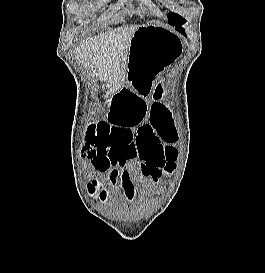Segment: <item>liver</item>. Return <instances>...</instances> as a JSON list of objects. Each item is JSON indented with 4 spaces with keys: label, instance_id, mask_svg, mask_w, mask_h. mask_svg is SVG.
<instances>
[{
    "label": "liver",
    "instance_id": "liver-1",
    "mask_svg": "<svg viewBox=\"0 0 265 273\" xmlns=\"http://www.w3.org/2000/svg\"><path fill=\"white\" fill-rule=\"evenodd\" d=\"M137 27L127 25L109 30L81 41L78 47L85 67L106 83V96L119 89L127 78L129 46Z\"/></svg>",
    "mask_w": 265,
    "mask_h": 273
}]
</instances>
